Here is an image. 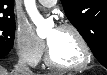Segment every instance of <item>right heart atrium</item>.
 <instances>
[{
    "label": "right heart atrium",
    "mask_w": 107,
    "mask_h": 75,
    "mask_svg": "<svg viewBox=\"0 0 107 75\" xmlns=\"http://www.w3.org/2000/svg\"><path fill=\"white\" fill-rule=\"evenodd\" d=\"M15 48L18 56L30 65L40 62L45 52L43 41L25 24L18 25L16 29Z\"/></svg>",
    "instance_id": "d8ad5b80"
}]
</instances>
